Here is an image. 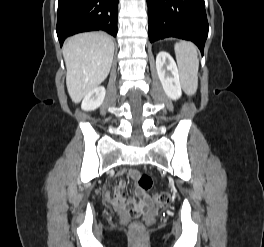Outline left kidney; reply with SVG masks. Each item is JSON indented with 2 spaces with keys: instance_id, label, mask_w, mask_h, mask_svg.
I'll use <instances>...</instances> for the list:
<instances>
[{
  "instance_id": "obj_1",
  "label": "left kidney",
  "mask_w": 264,
  "mask_h": 247,
  "mask_svg": "<svg viewBox=\"0 0 264 247\" xmlns=\"http://www.w3.org/2000/svg\"><path fill=\"white\" fill-rule=\"evenodd\" d=\"M156 69L166 95L172 100L179 99L182 95L179 72L174 59L169 53L165 51L158 53Z\"/></svg>"
}]
</instances>
